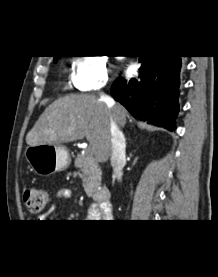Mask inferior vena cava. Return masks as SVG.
I'll return each mask as SVG.
<instances>
[{
	"label": "inferior vena cava",
	"mask_w": 218,
	"mask_h": 277,
	"mask_svg": "<svg viewBox=\"0 0 218 277\" xmlns=\"http://www.w3.org/2000/svg\"><path fill=\"white\" fill-rule=\"evenodd\" d=\"M100 100L105 102L112 113L111 117V166L113 169V176L121 182L122 175H123V167L126 163V143L125 138L120 130L117 121H116V111L118 107L116 106L114 100L106 95L104 92L100 93Z\"/></svg>",
	"instance_id": "obj_1"
}]
</instances>
